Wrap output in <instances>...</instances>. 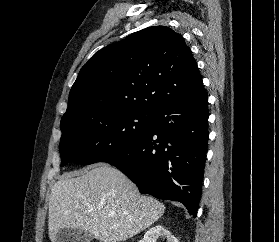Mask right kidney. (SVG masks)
Instances as JSON below:
<instances>
[{"label":"right kidney","instance_id":"obj_1","mask_svg":"<svg viewBox=\"0 0 279 242\" xmlns=\"http://www.w3.org/2000/svg\"><path fill=\"white\" fill-rule=\"evenodd\" d=\"M159 237L167 239V242H179L170 231H168L163 225H155L151 227L145 234L142 240L138 242H157Z\"/></svg>","mask_w":279,"mask_h":242}]
</instances>
